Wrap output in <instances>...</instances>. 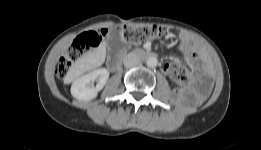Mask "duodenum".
<instances>
[{
    "label": "duodenum",
    "mask_w": 261,
    "mask_h": 150,
    "mask_svg": "<svg viewBox=\"0 0 261 150\" xmlns=\"http://www.w3.org/2000/svg\"><path fill=\"white\" fill-rule=\"evenodd\" d=\"M134 56L136 57H154V54H151L145 50H136L133 53ZM121 56L120 55H112L109 59H108V66L112 69V70H116L118 69V67L121 64Z\"/></svg>",
    "instance_id": "410a0bca"
}]
</instances>
